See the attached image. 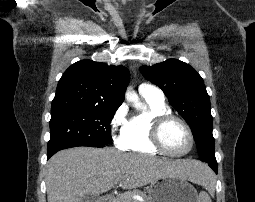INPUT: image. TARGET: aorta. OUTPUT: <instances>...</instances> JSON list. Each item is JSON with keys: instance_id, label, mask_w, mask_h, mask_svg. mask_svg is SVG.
Here are the masks:
<instances>
[{"instance_id": "aorta-1", "label": "aorta", "mask_w": 255, "mask_h": 202, "mask_svg": "<svg viewBox=\"0 0 255 202\" xmlns=\"http://www.w3.org/2000/svg\"><path fill=\"white\" fill-rule=\"evenodd\" d=\"M126 99L127 101L131 102L137 109L142 110L144 109L142 103L139 100V97L134 92H128L126 93Z\"/></svg>"}]
</instances>
